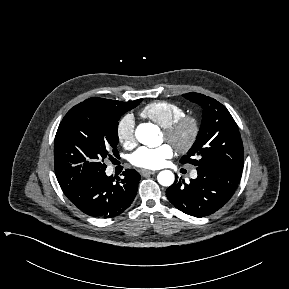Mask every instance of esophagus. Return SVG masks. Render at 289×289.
Wrapping results in <instances>:
<instances>
[{
  "label": "esophagus",
  "mask_w": 289,
  "mask_h": 289,
  "mask_svg": "<svg viewBox=\"0 0 289 289\" xmlns=\"http://www.w3.org/2000/svg\"><path fill=\"white\" fill-rule=\"evenodd\" d=\"M157 173V171H154V170H146V169H141L140 170V174L143 175V176H147V175H153Z\"/></svg>",
  "instance_id": "1"
}]
</instances>
